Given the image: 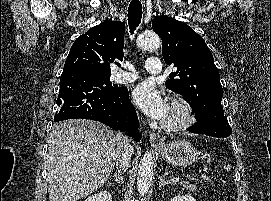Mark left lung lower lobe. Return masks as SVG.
<instances>
[{
  "mask_svg": "<svg viewBox=\"0 0 271 201\" xmlns=\"http://www.w3.org/2000/svg\"><path fill=\"white\" fill-rule=\"evenodd\" d=\"M187 131L192 132V133H198V134H203V129L200 128H194V127H189Z\"/></svg>",
  "mask_w": 271,
  "mask_h": 201,
  "instance_id": "1",
  "label": "left lung lower lobe"
}]
</instances>
